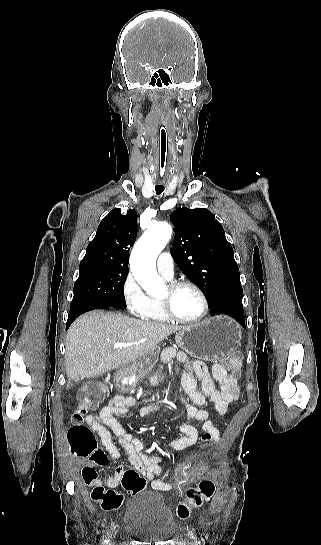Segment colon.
Wrapping results in <instances>:
<instances>
[{
    "instance_id": "obj_1",
    "label": "colon",
    "mask_w": 321,
    "mask_h": 545,
    "mask_svg": "<svg viewBox=\"0 0 321 545\" xmlns=\"http://www.w3.org/2000/svg\"><path fill=\"white\" fill-rule=\"evenodd\" d=\"M225 366L229 375L237 378L241 370V359L235 353H231L225 359ZM105 387L98 382L86 384L78 394L79 406L71 417V426L67 435L72 452L85 457H96L101 454L97 441L92 431L83 423L86 413L96 409L103 401ZM122 486L131 493H138L146 486V481L134 470H126L121 478ZM215 492V485L209 479L201 480L196 487L187 490L185 499L178 504L177 515L181 519L189 517L191 512L202 507L209 501ZM91 498L99 503L102 509L111 511L118 509L124 500L123 495L113 489L96 486L91 492Z\"/></svg>"
}]
</instances>
